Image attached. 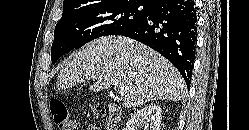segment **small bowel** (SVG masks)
<instances>
[{"label": "small bowel", "mask_w": 249, "mask_h": 130, "mask_svg": "<svg viewBox=\"0 0 249 130\" xmlns=\"http://www.w3.org/2000/svg\"><path fill=\"white\" fill-rule=\"evenodd\" d=\"M85 130H100L95 125H89Z\"/></svg>", "instance_id": "1"}]
</instances>
